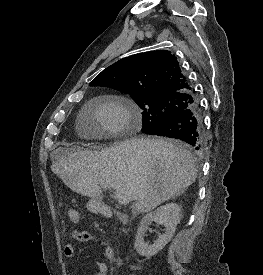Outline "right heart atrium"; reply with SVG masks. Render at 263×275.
Listing matches in <instances>:
<instances>
[{
  "label": "right heart atrium",
  "mask_w": 263,
  "mask_h": 275,
  "mask_svg": "<svg viewBox=\"0 0 263 275\" xmlns=\"http://www.w3.org/2000/svg\"><path fill=\"white\" fill-rule=\"evenodd\" d=\"M96 118L106 134L124 131L130 125L129 109L117 101H108L98 106Z\"/></svg>",
  "instance_id": "obj_1"
}]
</instances>
